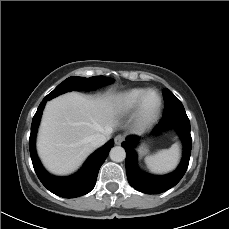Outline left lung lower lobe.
<instances>
[{
  "instance_id": "0a47b994",
  "label": "left lung lower lobe",
  "mask_w": 229,
  "mask_h": 229,
  "mask_svg": "<svg viewBox=\"0 0 229 229\" xmlns=\"http://www.w3.org/2000/svg\"><path fill=\"white\" fill-rule=\"evenodd\" d=\"M174 128L180 136L183 145L184 153L179 167L172 173L164 176H154L143 173L137 166V154L134 146L138 141L137 136H129L122 143V147L126 151V173L130 185L137 191L146 194H157L167 191L175 186L184 176L191 155L192 138L190 134V121L186 113H176L170 116H165L159 124L154 128L153 134Z\"/></svg>"
}]
</instances>
